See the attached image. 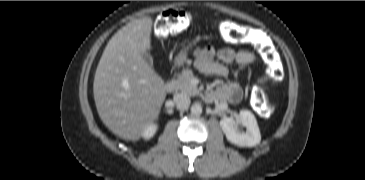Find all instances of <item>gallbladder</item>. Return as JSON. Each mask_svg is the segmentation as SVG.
<instances>
[{
  "label": "gallbladder",
  "instance_id": "bac80fb5",
  "mask_svg": "<svg viewBox=\"0 0 365 180\" xmlns=\"http://www.w3.org/2000/svg\"><path fill=\"white\" fill-rule=\"evenodd\" d=\"M142 58L144 59V61L149 64L151 67L153 66V59L152 57L148 54V53H145V54H142Z\"/></svg>",
  "mask_w": 365,
  "mask_h": 180
}]
</instances>
